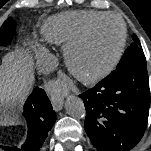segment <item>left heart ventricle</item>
<instances>
[{
  "mask_svg": "<svg viewBox=\"0 0 151 151\" xmlns=\"http://www.w3.org/2000/svg\"><path fill=\"white\" fill-rule=\"evenodd\" d=\"M121 38V26L109 19L101 23L76 55V62L84 72L106 65L116 53Z\"/></svg>",
  "mask_w": 151,
  "mask_h": 151,
  "instance_id": "left-heart-ventricle-1",
  "label": "left heart ventricle"
}]
</instances>
